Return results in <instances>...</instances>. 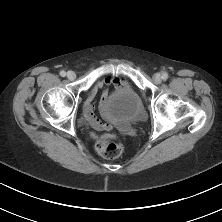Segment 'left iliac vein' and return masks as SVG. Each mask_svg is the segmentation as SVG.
<instances>
[{"mask_svg": "<svg viewBox=\"0 0 222 222\" xmlns=\"http://www.w3.org/2000/svg\"><path fill=\"white\" fill-rule=\"evenodd\" d=\"M154 80L157 82V83H160L162 81V76L159 74V73H156L154 75Z\"/></svg>", "mask_w": 222, "mask_h": 222, "instance_id": "4c4485c4", "label": "left iliac vein"}]
</instances>
